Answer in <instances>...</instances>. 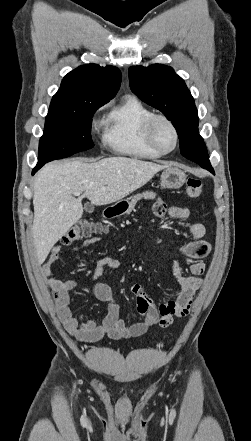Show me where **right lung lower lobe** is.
<instances>
[{
	"label": "right lung lower lobe",
	"mask_w": 251,
	"mask_h": 441,
	"mask_svg": "<svg viewBox=\"0 0 251 441\" xmlns=\"http://www.w3.org/2000/svg\"><path fill=\"white\" fill-rule=\"evenodd\" d=\"M45 163H47V162H39V161H38V164H37L36 167L33 169L32 174H34L38 169H40Z\"/></svg>",
	"instance_id": "98d812e1"
}]
</instances>
